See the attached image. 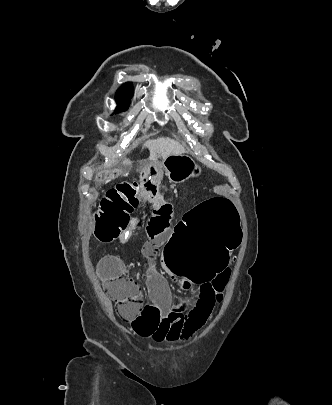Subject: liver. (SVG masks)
Listing matches in <instances>:
<instances>
[{"instance_id":"6515ba94","label":"liver","mask_w":332,"mask_h":405,"mask_svg":"<svg viewBox=\"0 0 332 405\" xmlns=\"http://www.w3.org/2000/svg\"><path fill=\"white\" fill-rule=\"evenodd\" d=\"M144 147L148 148L150 155L149 160L156 161L158 158L165 159L169 155H181L185 153V148L178 141L171 138H157L154 140H147Z\"/></svg>"}]
</instances>
